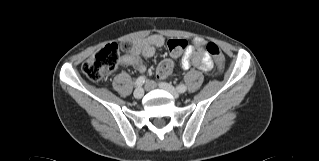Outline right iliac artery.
Returning a JSON list of instances; mask_svg holds the SVG:
<instances>
[{"label":"right iliac artery","instance_id":"82829eb1","mask_svg":"<svg viewBox=\"0 0 319 161\" xmlns=\"http://www.w3.org/2000/svg\"><path fill=\"white\" fill-rule=\"evenodd\" d=\"M145 79H146L145 76H140V77L137 78L135 84L140 87V86H142L144 84Z\"/></svg>","mask_w":319,"mask_h":161}]
</instances>
